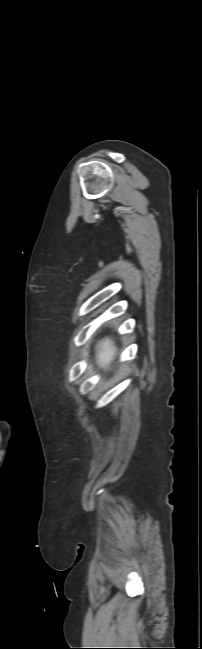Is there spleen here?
I'll use <instances>...</instances> for the list:
<instances>
[{
  "instance_id": "3e777b00",
  "label": "spleen",
  "mask_w": 202,
  "mask_h": 649,
  "mask_svg": "<svg viewBox=\"0 0 202 649\" xmlns=\"http://www.w3.org/2000/svg\"><path fill=\"white\" fill-rule=\"evenodd\" d=\"M98 348H99V353H98L99 363L101 365H106L112 360L116 352V348L111 344L109 339H106L103 342H101Z\"/></svg>"
}]
</instances>
